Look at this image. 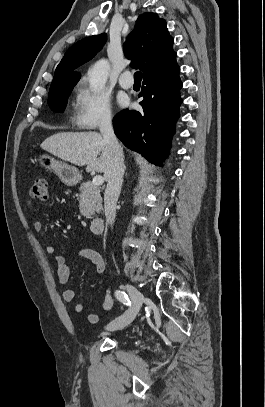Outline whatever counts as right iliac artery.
<instances>
[{
    "instance_id": "82829eb1",
    "label": "right iliac artery",
    "mask_w": 265,
    "mask_h": 407,
    "mask_svg": "<svg viewBox=\"0 0 265 407\" xmlns=\"http://www.w3.org/2000/svg\"><path fill=\"white\" fill-rule=\"evenodd\" d=\"M115 296L124 305H127V306L131 305V301H130L128 295L124 291L117 290L115 292Z\"/></svg>"
}]
</instances>
